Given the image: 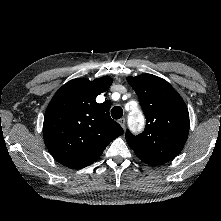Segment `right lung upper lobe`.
Wrapping results in <instances>:
<instances>
[{
	"mask_svg": "<svg viewBox=\"0 0 221 221\" xmlns=\"http://www.w3.org/2000/svg\"><path fill=\"white\" fill-rule=\"evenodd\" d=\"M113 80L74 79L63 85L50 101L44 117V142L62 165L83 168L95 162L107 145L123 134L109 114L107 102L96 97L109 89Z\"/></svg>",
	"mask_w": 221,
	"mask_h": 221,
	"instance_id": "cb5924a9",
	"label": "right lung upper lobe"
}]
</instances>
